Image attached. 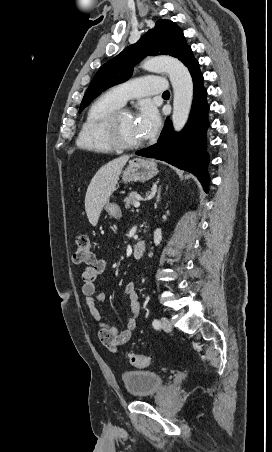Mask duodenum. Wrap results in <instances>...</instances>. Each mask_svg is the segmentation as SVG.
Instances as JSON below:
<instances>
[{
  "instance_id": "duodenum-1",
  "label": "duodenum",
  "mask_w": 272,
  "mask_h": 452,
  "mask_svg": "<svg viewBox=\"0 0 272 452\" xmlns=\"http://www.w3.org/2000/svg\"><path fill=\"white\" fill-rule=\"evenodd\" d=\"M147 248V243L145 240H140L137 243H135L134 247H133V257L135 259H140L143 254L145 253Z\"/></svg>"
}]
</instances>
